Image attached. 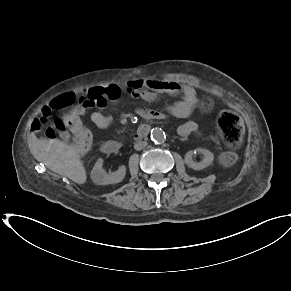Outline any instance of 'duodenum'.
Returning <instances> with one entry per match:
<instances>
[{
	"mask_svg": "<svg viewBox=\"0 0 291 291\" xmlns=\"http://www.w3.org/2000/svg\"><path fill=\"white\" fill-rule=\"evenodd\" d=\"M144 118H146V117H144ZM148 133H149V127L147 125H142L138 128L134 139L140 140V139L144 138L145 136H147ZM120 147H121L120 143H118L117 141L107 140V141L102 143L101 150L105 154H113V153H116L117 151H119Z\"/></svg>",
	"mask_w": 291,
	"mask_h": 291,
	"instance_id": "410a0bca",
	"label": "duodenum"
}]
</instances>
